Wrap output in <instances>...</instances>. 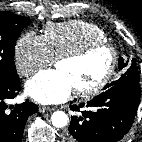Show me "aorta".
I'll return each instance as SVG.
<instances>
[{"label": "aorta", "mask_w": 142, "mask_h": 142, "mask_svg": "<svg viewBox=\"0 0 142 142\" xmlns=\"http://www.w3.org/2000/svg\"><path fill=\"white\" fill-rule=\"evenodd\" d=\"M51 122L57 128H62L67 125L68 117L63 111H56L51 115Z\"/></svg>", "instance_id": "obj_1"}]
</instances>
